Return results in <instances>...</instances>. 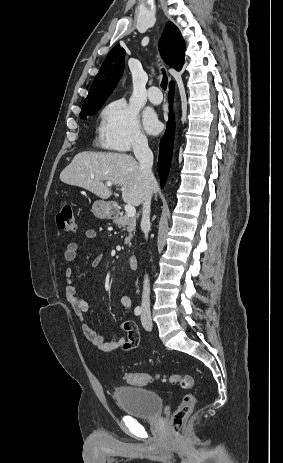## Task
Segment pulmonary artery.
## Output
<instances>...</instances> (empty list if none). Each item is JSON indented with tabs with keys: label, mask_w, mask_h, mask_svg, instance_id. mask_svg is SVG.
<instances>
[{
	"label": "pulmonary artery",
	"mask_w": 283,
	"mask_h": 463,
	"mask_svg": "<svg viewBox=\"0 0 283 463\" xmlns=\"http://www.w3.org/2000/svg\"><path fill=\"white\" fill-rule=\"evenodd\" d=\"M147 96H148V99L149 101L152 103V104H159L161 103L162 101V96L160 94V90L157 86H151L148 91H147Z\"/></svg>",
	"instance_id": "pulmonary-artery-1"
}]
</instances>
